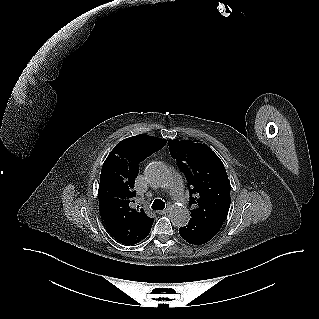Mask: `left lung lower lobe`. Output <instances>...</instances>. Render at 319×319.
<instances>
[{
	"instance_id": "1",
	"label": "left lung lower lobe",
	"mask_w": 319,
	"mask_h": 319,
	"mask_svg": "<svg viewBox=\"0 0 319 319\" xmlns=\"http://www.w3.org/2000/svg\"><path fill=\"white\" fill-rule=\"evenodd\" d=\"M223 222L191 218L188 225L179 228L181 237L190 244L201 245L211 240L221 228Z\"/></svg>"
}]
</instances>
